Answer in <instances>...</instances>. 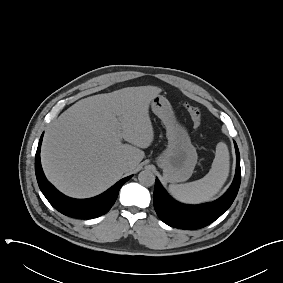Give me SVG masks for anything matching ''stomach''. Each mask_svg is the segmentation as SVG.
I'll return each mask as SVG.
<instances>
[{
	"label": "stomach",
	"mask_w": 283,
	"mask_h": 283,
	"mask_svg": "<svg viewBox=\"0 0 283 283\" xmlns=\"http://www.w3.org/2000/svg\"><path fill=\"white\" fill-rule=\"evenodd\" d=\"M152 111L166 128L168 146L157 158L166 182L178 183L189 179L197 163V153L188 132L176 119L170 102L162 95L151 101Z\"/></svg>",
	"instance_id": "obj_1"
}]
</instances>
